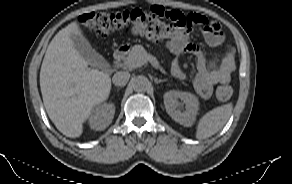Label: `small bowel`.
Instances as JSON below:
<instances>
[{
  "instance_id": "1",
  "label": "small bowel",
  "mask_w": 292,
  "mask_h": 184,
  "mask_svg": "<svg viewBox=\"0 0 292 184\" xmlns=\"http://www.w3.org/2000/svg\"><path fill=\"white\" fill-rule=\"evenodd\" d=\"M194 20V26L200 27L204 39L212 47L219 46L224 41L220 25L201 14H190ZM168 50L174 55L171 64L172 73L178 78H185L180 58L184 54H191L196 59V73L192 78L195 89L204 98H208L213 93L216 84H226L230 82L233 72L236 68L235 53L228 49L222 58L214 57L208 60L204 51L198 45L189 43L188 33L186 31L177 32L168 42Z\"/></svg>"
}]
</instances>
